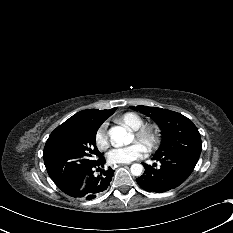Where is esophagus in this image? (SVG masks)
Returning a JSON list of instances; mask_svg holds the SVG:
<instances>
[{
	"label": "esophagus",
	"instance_id": "esophagus-1",
	"mask_svg": "<svg viewBox=\"0 0 233 233\" xmlns=\"http://www.w3.org/2000/svg\"><path fill=\"white\" fill-rule=\"evenodd\" d=\"M126 164H119V166H125Z\"/></svg>",
	"mask_w": 233,
	"mask_h": 233
}]
</instances>
